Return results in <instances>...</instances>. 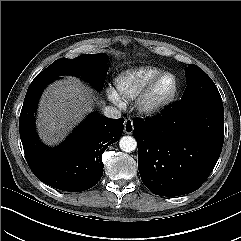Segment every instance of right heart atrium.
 I'll return each mask as SVG.
<instances>
[{"mask_svg":"<svg viewBox=\"0 0 241 241\" xmlns=\"http://www.w3.org/2000/svg\"><path fill=\"white\" fill-rule=\"evenodd\" d=\"M107 96H108V99L117 104V105H121L122 103V100L121 98L119 97V95L116 93V91L112 88H108L107 89Z\"/></svg>","mask_w":241,"mask_h":241,"instance_id":"1","label":"right heart atrium"}]
</instances>
